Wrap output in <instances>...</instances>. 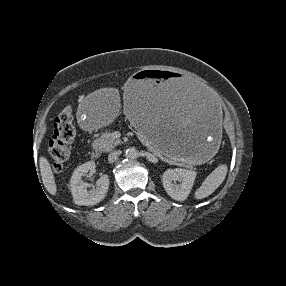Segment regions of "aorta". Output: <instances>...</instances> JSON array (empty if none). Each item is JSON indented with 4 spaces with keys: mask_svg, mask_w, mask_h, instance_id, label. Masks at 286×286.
I'll return each instance as SVG.
<instances>
[{
    "mask_svg": "<svg viewBox=\"0 0 286 286\" xmlns=\"http://www.w3.org/2000/svg\"><path fill=\"white\" fill-rule=\"evenodd\" d=\"M126 157L129 159H135L138 157V152L134 147L128 148L126 150Z\"/></svg>",
    "mask_w": 286,
    "mask_h": 286,
    "instance_id": "1",
    "label": "aorta"
}]
</instances>
